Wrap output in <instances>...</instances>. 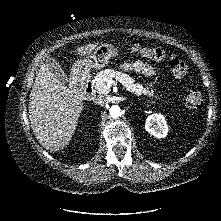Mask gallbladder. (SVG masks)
I'll list each match as a JSON object with an SVG mask.
<instances>
[{
	"mask_svg": "<svg viewBox=\"0 0 221 221\" xmlns=\"http://www.w3.org/2000/svg\"><path fill=\"white\" fill-rule=\"evenodd\" d=\"M46 64L49 67L50 71L54 73L56 78L63 84L68 82V77L64 73L62 67L59 63L53 58H47Z\"/></svg>",
	"mask_w": 221,
	"mask_h": 221,
	"instance_id": "bac80fb5",
	"label": "gallbladder"
}]
</instances>
